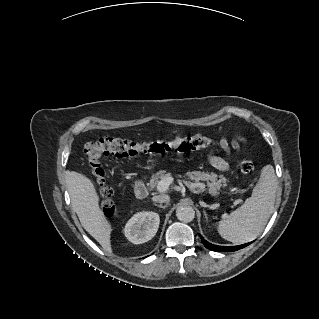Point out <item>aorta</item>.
<instances>
[{"label": "aorta", "instance_id": "1", "mask_svg": "<svg viewBox=\"0 0 319 319\" xmlns=\"http://www.w3.org/2000/svg\"><path fill=\"white\" fill-rule=\"evenodd\" d=\"M176 216L181 222L188 223L195 218V211L189 205H180L176 210Z\"/></svg>", "mask_w": 319, "mask_h": 319}]
</instances>
